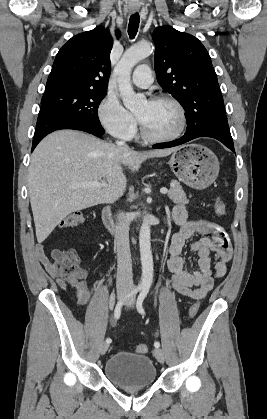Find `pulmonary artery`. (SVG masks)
<instances>
[{"label":"pulmonary artery","instance_id":"obj_1","mask_svg":"<svg viewBox=\"0 0 267 419\" xmlns=\"http://www.w3.org/2000/svg\"><path fill=\"white\" fill-rule=\"evenodd\" d=\"M132 82L140 88H147L153 82L152 72L148 65H139L133 72Z\"/></svg>","mask_w":267,"mask_h":419}]
</instances>
